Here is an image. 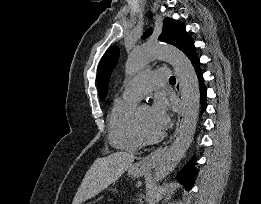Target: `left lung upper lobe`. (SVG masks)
Instances as JSON below:
<instances>
[{"label":"left lung upper lobe","mask_w":261,"mask_h":204,"mask_svg":"<svg viewBox=\"0 0 261 204\" xmlns=\"http://www.w3.org/2000/svg\"><path fill=\"white\" fill-rule=\"evenodd\" d=\"M152 34V30H147L142 38L145 39ZM159 39L167 42L181 51L191 41L187 36L184 24L174 19L166 18L163 21V30ZM119 48L117 46L110 47L103 55L97 72V86L100 99H104L107 95L108 83L112 69L118 59Z\"/></svg>","instance_id":"obj_1"}]
</instances>
